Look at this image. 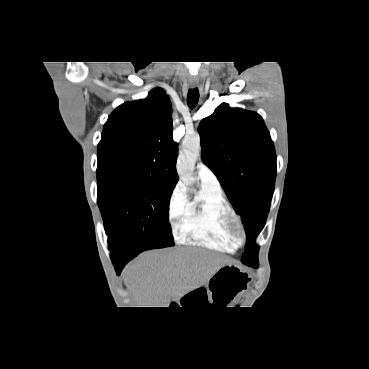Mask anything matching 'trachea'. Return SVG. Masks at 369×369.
Returning <instances> with one entry per match:
<instances>
[{
    "label": "trachea",
    "mask_w": 369,
    "mask_h": 369,
    "mask_svg": "<svg viewBox=\"0 0 369 369\" xmlns=\"http://www.w3.org/2000/svg\"><path fill=\"white\" fill-rule=\"evenodd\" d=\"M199 101V91L197 88L190 89L187 95V104L188 106L193 109L196 107Z\"/></svg>",
    "instance_id": "3493384b"
}]
</instances>
